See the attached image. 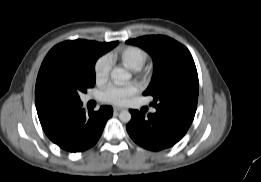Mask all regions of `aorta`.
<instances>
[{
  "instance_id": "aorta-1",
  "label": "aorta",
  "mask_w": 261,
  "mask_h": 182,
  "mask_svg": "<svg viewBox=\"0 0 261 182\" xmlns=\"http://www.w3.org/2000/svg\"><path fill=\"white\" fill-rule=\"evenodd\" d=\"M131 78V74L123 68H114L111 71V79L116 85H123ZM119 119L128 123L131 120V113L128 110H123L119 114Z\"/></svg>"
}]
</instances>
